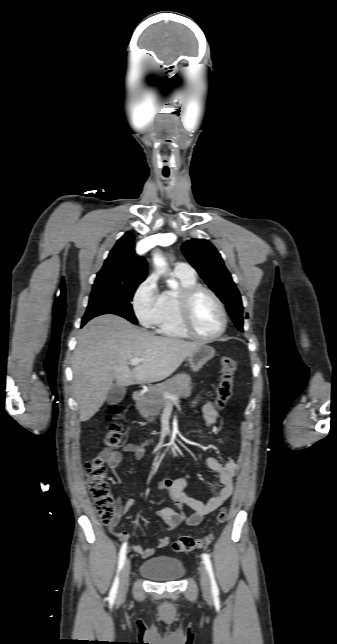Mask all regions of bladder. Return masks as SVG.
<instances>
[{
    "label": "bladder",
    "instance_id": "31cf9c89",
    "mask_svg": "<svg viewBox=\"0 0 337 644\" xmlns=\"http://www.w3.org/2000/svg\"><path fill=\"white\" fill-rule=\"evenodd\" d=\"M140 573L156 582H172L180 580L185 574V567L180 559L157 556L143 561L139 567Z\"/></svg>",
    "mask_w": 337,
    "mask_h": 644
}]
</instances>
